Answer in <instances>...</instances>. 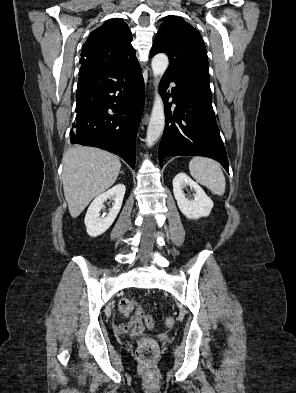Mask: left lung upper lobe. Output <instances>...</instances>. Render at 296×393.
Masks as SVG:
<instances>
[{"mask_svg": "<svg viewBox=\"0 0 296 393\" xmlns=\"http://www.w3.org/2000/svg\"><path fill=\"white\" fill-rule=\"evenodd\" d=\"M160 52L169 57L170 65L165 75L181 83L210 84L204 41L182 18L170 15L160 26L151 55Z\"/></svg>", "mask_w": 296, "mask_h": 393, "instance_id": "5c2ea615", "label": "left lung upper lobe"}]
</instances>
